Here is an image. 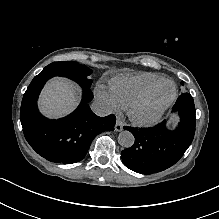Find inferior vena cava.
<instances>
[{
  "instance_id": "1",
  "label": "inferior vena cava",
  "mask_w": 219,
  "mask_h": 219,
  "mask_svg": "<svg viewBox=\"0 0 219 219\" xmlns=\"http://www.w3.org/2000/svg\"><path fill=\"white\" fill-rule=\"evenodd\" d=\"M90 109L94 114L100 117L107 116L111 113L110 107L103 101L96 100L91 104Z\"/></svg>"
}]
</instances>
